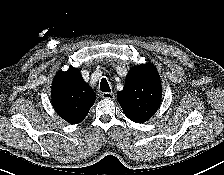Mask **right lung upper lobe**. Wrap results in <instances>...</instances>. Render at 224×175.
<instances>
[{
	"label": "right lung upper lobe",
	"mask_w": 224,
	"mask_h": 175,
	"mask_svg": "<svg viewBox=\"0 0 224 175\" xmlns=\"http://www.w3.org/2000/svg\"><path fill=\"white\" fill-rule=\"evenodd\" d=\"M51 97L57 114L70 124L83 121L95 102V92L83 81L80 71L73 67L56 74Z\"/></svg>",
	"instance_id": "obj_1"
}]
</instances>
